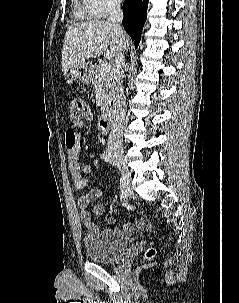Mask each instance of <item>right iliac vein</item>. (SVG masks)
Segmentation results:
<instances>
[{"label": "right iliac vein", "mask_w": 239, "mask_h": 303, "mask_svg": "<svg viewBox=\"0 0 239 303\" xmlns=\"http://www.w3.org/2000/svg\"><path fill=\"white\" fill-rule=\"evenodd\" d=\"M114 162L118 165V167L120 168L121 171H126V176H124V178L126 179V184L128 186V188H130V183H131V174H130V171L129 169L127 168L125 162H124V159L123 157L121 156H115L113 158ZM123 177V176H122ZM132 194V192H131Z\"/></svg>", "instance_id": "right-iliac-vein-1"}]
</instances>
